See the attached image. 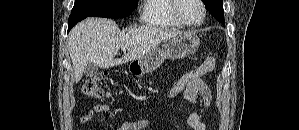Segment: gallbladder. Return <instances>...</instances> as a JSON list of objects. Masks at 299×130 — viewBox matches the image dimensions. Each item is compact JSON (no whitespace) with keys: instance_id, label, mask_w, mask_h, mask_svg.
<instances>
[{"instance_id":"gallbladder-1","label":"gallbladder","mask_w":299,"mask_h":130,"mask_svg":"<svg viewBox=\"0 0 299 130\" xmlns=\"http://www.w3.org/2000/svg\"><path fill=\"white\" fill-rule=\"evenodd\" d=\"M98 71V66L94 63H88L85 66L84 74L86 77H93Z\"/></svg>"}]
</instances>
